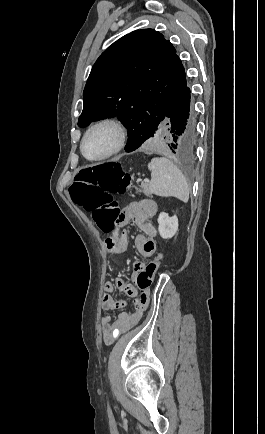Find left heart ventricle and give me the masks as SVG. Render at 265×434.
I'll return each instance as SVG.
<instances>
[{
    "instance_id": "b2bd125f",
    "label": "left heart ventricle",
    "mask_w": 265,
    "mask_h": 434,
    "mask_svg": "<svg viewBox=\"0 0 265 434\" xmlns=\"http://www.w3.org/2000/svg\"><path fill=\"white\" fill-rule=\"evenodd\" d=\"M115 143V133L109 127L98 129L91 133L84 143V153L90 158L106 154Z\"/></svg>"
}]
</instances>
